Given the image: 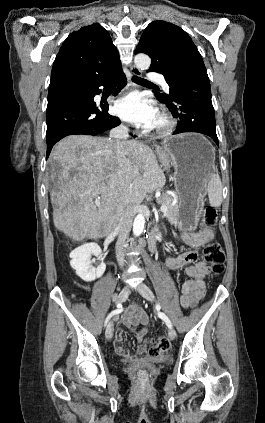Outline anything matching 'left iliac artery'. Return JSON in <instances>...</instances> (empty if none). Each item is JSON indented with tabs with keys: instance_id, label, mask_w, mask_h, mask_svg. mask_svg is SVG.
Instances as JSON below:
<instances>
[{
	"instance_id": "44dca946",
	"label": "left iliac artery",
	"mask_w": 265,
	"mask_h": 423,
	"mask_svg": "<svg viewBox=\"0 0 265 423\" xmlns=\"http://www.w3.org/2000/svg\"><path fill=\"white\" fill-rule=\"evenodd\" d=\"M157 309H160V306L159 305H157ZM158 316L166 323V325L169 328H172L171 321L169 320V318L163 312H158Z\"/></svg>"
}]
</instances>
